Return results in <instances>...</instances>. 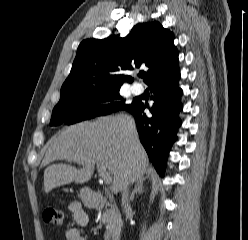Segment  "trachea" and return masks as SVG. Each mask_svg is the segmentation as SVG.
<instances>
[{
	"label": "trachea",
	"instance_id": "trachea-1",
	"mask_svg": "<svg viewBox=\"0 0 248 240\" xmlns=\"http://www.w3.org/2000/svg\"><path fill=\"white\" fill-rule=\"evenodd\" d=\"M139 76H140L141 78H147V77H148V73H146V72H141V73L139 74Z\"/></svg>",
	"mask_w": 248,
	"mask_h": 240
}]
</instances>
